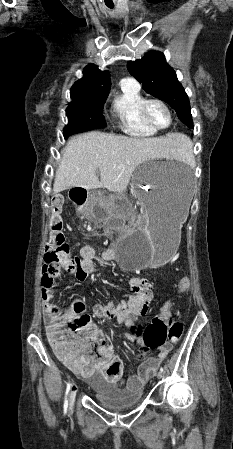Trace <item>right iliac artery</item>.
<instances>
[{
    "label": "right iliac artery",
    "instance_id": "1",
    "mask_svg": "<svg viewBox=\"0 0 233 449\" xmlns=\"http://www.w3.org/2000/svg\"><path fill=\"white\" fill-rule=\"evenodd\" d=\"M71 385H72L71 383L67 384V388H66V392H65V400H64V405H63L65 413L67 412V408H68V393L70 391Z\"/></svg>",
    "mask_w": 233,
    "mask_h": 449
}]
</instances>
